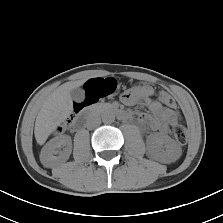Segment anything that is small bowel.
I'll use <instances>...</instances> for the list:
<instances>
[{"label": "small bowel", "mask_w": 223, "mask_h": 223, "mask_svg": "<svg viewBox=\"0 0 223 223\" xmlns=\"http://www.w3.org/2000/svg\"><path fill=\"white\" fill-rule=\"evenodd\" d=\"M154 94L155 92L151 87H143L131 94L126 93L122 96V101L125 104H134L136 102L144 104L151 114H140L138 117L139 122L153 131L166 132L169 126L178 121L179 114L173 109L164 107L154 98Z\"/></svg>", "instance_id": "1"}]
</instances>
